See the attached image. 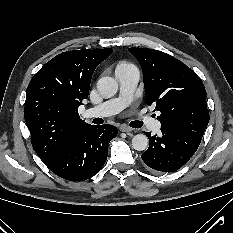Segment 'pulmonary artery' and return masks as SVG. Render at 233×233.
<instances>
[{
  "instance_id": "obj_1",
  "label": "pulmonary artery",
  "mask_w": 233,
  "mask_h": 233,
  "mask_svg": "<svg viewBox=\"0 0 233 233\" xmlns=\"http://www.w3.org/2000/svg\"><path fill=\"white\" fill-rule=\"evenodd\" d=\"M115 75L120 86L119 95L116 98L85 110L83 113L84 118L91 119L115 115L133 100L134 92L139 81L138 70L133 66L119 68L116 69ZM142 122L153 132H158L161 128L160 122L150 117H144Z\"/></svg>"
}]
</instances>
